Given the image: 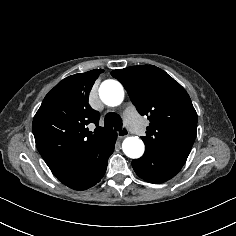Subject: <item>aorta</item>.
<instances>
[{
	"mask_svg": "<svg viewBox=\"0 0 236 236\" xmlns=\"http://www.w3.org/2000/svg\"><path fill=\"white\" fill-rule=\"evenodd\" d=\"M99 95L104 104L114 107L123 101L124 90L118 81L105 80L99 88ZM122 149L126 156L137 159L143 155L145 147L139 137H127L122 143Z\"/></svg>",
	"mask_w": 236,
	"mask_h": 236,
	"instance_id": "1",
	"label": "aorta"
}]
</instances>
